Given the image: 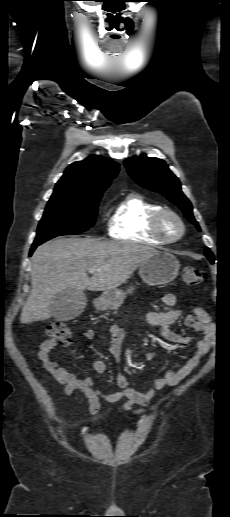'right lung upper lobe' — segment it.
<instances>
[{
    "instance_id": "cb5924a9",
    "label": "right lung upper lobe",
    "mask_w": 230,
    "mask_h": 517,
    "mask_svg": "<svg viewBox=\"0 0 230 517\" xmlns=\"http://www.w3.org/2000/svg\"><path fill=\"white\" fill-rule=\"evenodd\" d=\"M119 171V165L101 156L88 157L68 166L51 198L91 197L102 194Z\"/></svg>"
}]
</instances>
